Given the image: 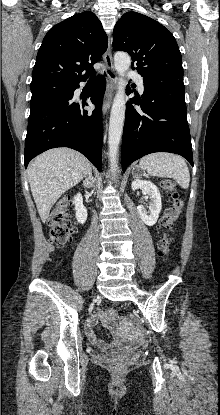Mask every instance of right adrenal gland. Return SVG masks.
I'll return each instance as SVG.
<instances>
[{
  "mask_svg": "<svg viewBox=\"0 0 220 415\" xmlns=\"http://www.w3.org/2000/svg\"><path fill=\"white\" fill-rule=\"evenodd\" d=\"M89 179H91V180H94V178H93V176H92V171L90 172V174H89Z\"/></svg>",
  "mask_w": 220,
  "mask_h": 415,
  "instance_id": "2a0ac1e0",
  "label": "right adrenal gland"
}]
</instances>
